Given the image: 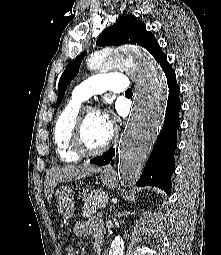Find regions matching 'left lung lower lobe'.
Returning <instances> with one entry per match:
<instances>
[{
    "instance_id": "left-lung-lower-lobe-1",
    "label": "left lung lower lobe",
    "mask_w": 221,
    "mask_h": 255,
    "mask_svg": "<svg viewBox=\"0 0 221 255\" xmlns=\"http://www.w3.org/2000/svg\"><path fill=\"white\" fill-rule=\"evenodd\" d=\"M153 57L160 64L167 77L169 98L161 133L136 185L156 186L169 194L171 191V175L175 170L174 151L177 147L176 133L180 126V88L176 82L175 72L168 63L167 57L162 52L161 48L153 55ZM114 155L115 149L110 148L102 156L91 159L90 163L103 166L110 163Z\"/></svg>"
}]
</instances>
